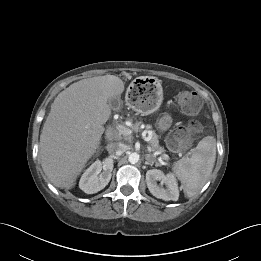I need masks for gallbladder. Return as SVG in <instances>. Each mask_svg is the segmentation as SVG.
I'll return each mask as SVG.
<instances>
[{
  "label": "gallbladder",
  "mask_w": 261,
  "mask_h": 261,
  "mask_svg": "<svg viewBox=\"0 0 261 261\" xmlns=\"http://www.w3.org/2000/svg\"><path fill=\"white\" fill-rule=\"evenodd\" d=\"M120 104H121V101H120V99L117 98V97H113V98H110V99L108 100V105H109V107L112 108V109L118 108V107L120 106Z\"/></svg>",
  "instance_id": "obj_1"
}]
</instances>
